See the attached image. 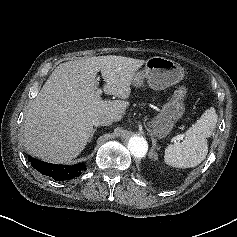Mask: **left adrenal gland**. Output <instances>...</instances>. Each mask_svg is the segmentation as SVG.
<instances>
[{
  "instance_id": "a2214340",
  "label": "left adrenal gland",
  "mask_w": 237,
  "mask_h": 237,
  "mask_svg": "<svg viewBox=\"0 0 237 237\" xmlns=\"http://www.w3.org/2000/svg\"><path fill=\"white\" fill-rule=\"evenodd\" d=\"M155 148H156V140L152 137V148L149 153L150 158H152V156H154V158L156 159L157 154L155 153Z\"/></svg>"
}]
</instances>
